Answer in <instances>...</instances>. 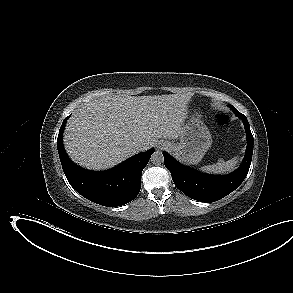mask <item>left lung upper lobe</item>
Here are the masks:
<instances>
[{
	"label": "left lung upper lobe",
	"instance_id": "obj_1",
	"mask_svg": "<svg viewBox=\"0 0 293 293\" xmlns=\"http://www.w3.org/2000/svg\"><path fill=\"white\" fill-rule=\"evenodd\" d=\"M228 106L233 110V112H234L235 114L240 113L238 110L235 109V107H234L233 105L229 104Z\"/></svg>",
	"mask_w": 293,
	"mask_h": 293
}]
</instances>
